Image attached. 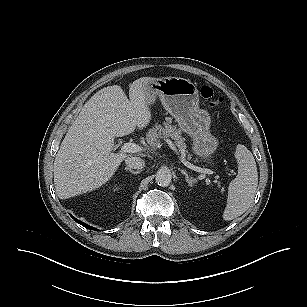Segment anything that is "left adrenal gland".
I'll return each instance as SVG.
<instances>
[{
	"mask_svg": "<svg viewBox=\"0 0 307 307\" xmlns=\"http://www.w3.org/2000/svg\"><path fill=\"white\" fill-rule=\"evenodd\" d=\"M181 173L184 174L185 180H186L188 186H192L193 182H195V179L193 177H190L188 175V173L183 169H181Z\"/></svg>",
	"mask_w": 307,
	"mask_h": 307,
	"instance_id": "left-adrenal-gland-1",
	"label": "left adrenal gland"
}]
</instances>
